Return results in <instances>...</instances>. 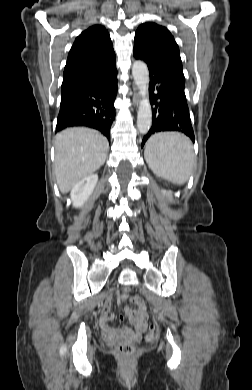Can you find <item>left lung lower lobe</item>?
Returning <instances> with one entry per match:
<instances>
[{"instance_id": "left-lung-lower-lobe-1", "label": "left lung lower lobe", "mask_w": 252, "mask_h": 390, "mask_svg": "<svg viewBox=\"0 0 252 390\" xmlns=\"http://www.w3.org/2000/svg\"><path fill=\"white\" fill-rule=\"evenodd\" d=\"M134 57L148 65L150 103L154 106L152 126L144 136L141 148L151 135L162 131L183 132L194 142L184 92L185 79L157 63L146 61L137 51H134Z\"/></svg>"}]
</instances>
